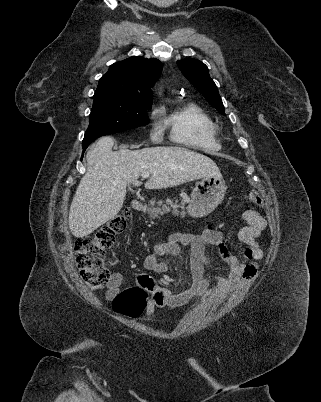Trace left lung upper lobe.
Masks as SVG:
<instances>
[{
  "label": "left lung upper lobe",
  "instance_id": "5c2ea615",
  "mask_svg": "<svg viewBox=\"0 0 321 402\" xmlns=\"http://www.w3.org/2000/svg\"><path fill=\"white\" fill-rule=\"evenodd\" d=\"M177 65L188 81L205 97L211 106L225 114L224 106L214 81L209 76L207 66L197 59L186 58Z\"/></svg>",
  "mask_w": 321,
  "mask_h": 402
}]
</instances>
